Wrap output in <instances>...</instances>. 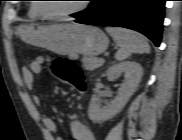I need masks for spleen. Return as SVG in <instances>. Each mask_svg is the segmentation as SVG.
<instances>
[{
	"mask_svg": "<svg viewBox=\"0 0 182 140\" xmlns=\"http://www.w3.org/2000/svg\"><path fill=\"white\" fill-rule=\"evenodd\" d=\"M106 31L120 47L115 58L118 61L127 59L132 53H149L150 46L146 38L129 29L120 27H107Z\"/></svg>",
	"mask_w": 182,
	"mask_h": 140,
	"instance_id": "1",
	"label": "spleen"
}]
</instances>
